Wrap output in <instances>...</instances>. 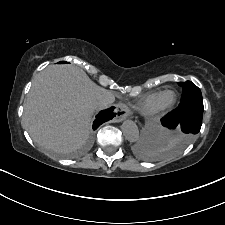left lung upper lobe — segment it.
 <instances>
[{
    "label": "left lung upper lobe",
    "mask_w": 225,
    "mask_h": 225,
    "mask_svg": "<svg viewBox=\"0 0 225 225\" xmlns=\"http://www.w3.org/2000/svg\"><path fill=\"white\" fill-rule=\"evenodd\" d=\"M179 85L183 87L182 99L179 106L192 103H202V94L200 89L191 81L179 82ZM193 136L188 137L185 134L181 135L183 142L190 141Z\"/></svg>",
    "instance_id": "1"
}]
</instances>
